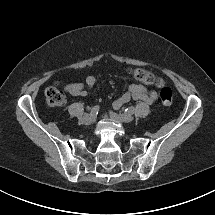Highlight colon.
<instances>
[{
  "label": "colon",
  "mask_w": 215,
  "mask_h": 215,
  "mask_svg": "<svg viewBox=\"0 0 215 215\" xmlns=\"http://www.w3.org/2000/svg\"><path fill=\"white\" fill-rule=\"evenodd\" d=\"M133 78L147 84L161 86L163 81L157 78L152 72L144 69H133L130 71ZM46 102L50 106H60L65 102V95L56 87H49L45 91ZM160 99L163 105L170 106L173 101V94L170 88L163 87L160 91Z\"/></svg>",
  "instance_id": "5ec220e1"
}]
</instances>
